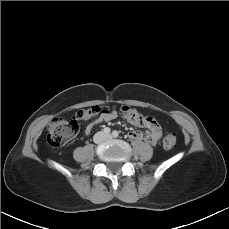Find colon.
I'll use <instances>...</instances> for the list:
<instances>
[{
    "mask_svg": "<svg viewBox=\"0 0 229 229\" xmlns=\"http://www.w3.org/2000/svg\"><path fill=\"white\" fill-rule=\"evenodd\" d=\"M121 112L127 121L135 125L144 124L146 120V117L138 110L128 105L122 106ZM100 113V107L93 106L77 111L71 120H64L59 117L54 118L47 128V143L52 147L64 146L69 138L77 132L79 121L97 117ZM176 143L177 137L174 133H168L163 138V146L166 149H172Z\"/></svg>",
    "mask_w": 229,
    "mask_h": 229,
    "instance_id": "obj_1",
    "label": "colon"
}]
</instances>
